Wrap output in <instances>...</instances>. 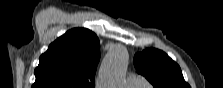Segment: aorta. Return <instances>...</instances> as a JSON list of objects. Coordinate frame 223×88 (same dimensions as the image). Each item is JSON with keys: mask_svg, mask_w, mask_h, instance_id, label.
Listing matches in <instances>:
<instances>
[{"mask_svg": "<svg viewBox=\"0 0 223 88\" xmlns=\"http://www.w3.org/2000/svg\"><path fill=\"white\" fill-rule=\"evenodd\" d=\"M128 59V51L124 46L116 45L109 51L101 66L104 88H123Z\"/></svg>", "mask_w": 223, "mask_h": 88, "instance_id": "obj_1", "label": "aorta"}]
</instances>
